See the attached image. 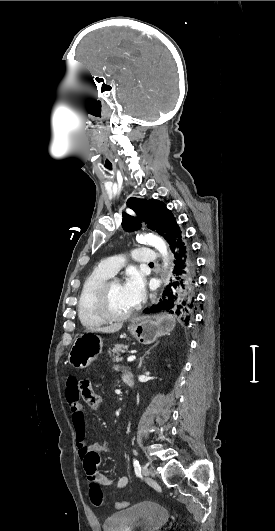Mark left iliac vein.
<instances>
[{
	"label": "left iliac vein",
	"mask_w": 275,
	"mask_h": 531,
	"mask_svg": "<svg viewBox=\"0 0 275 531\" xmlns=\"http://www.w3.org/2000/svg\"><path fill=\"white\" fill-rule=\"evenodd\" d=\"M142 472H143V474L145 476V479H146L147 483L155 484V480L152 479L151 477H149V468L146 465H144L142 467Z\"/></svg>",
	"instance_id": "left-iliac-vein-1"
}]
</instances>
